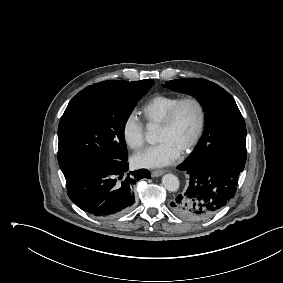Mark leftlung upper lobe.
Wrapping results in <instances>:
<instances>
[{"mask_svg": "<svg viewBox=\"0 0 283 283\" xmlns=\"http://www.w3.org/2000/svg\"><path fill=\"white\" fill-rule=\"evenodd\" d=\"M164 86L195 97L205 110L203 134L184 164L191 167L218 159L245 164L246 126L235 100L227 91L199 78L171 80Z\"/></svg>", "mask_w": 283, "mask_h": 283, "instance_id": "left-lung-upper-lobe-1", "label": "left lung upper lobe"}]
</instances>
